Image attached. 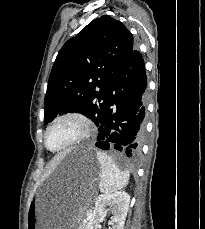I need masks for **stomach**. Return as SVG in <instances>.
I'll list each match as a JSON object with an SVG mask.
<instances>
[{
  "label": "stomach",
  "mask_w": 205,
  "mask_h": 229,
  "mask_svg": "<svg viewBox=\"0 0 205 229\" xmlns=\"http://www.w3.org/2000/svg\"><path fill=\"white\" fill-rule=\"evenodd\" d=\"M66 157L72 167L67 173L80 182V195L75 198H68L65 194L38 195L29 204L26 229H83L81 221L90 206L101 167L90 148L75 147L67 152Z\"/></svg>",
  "instance_id": "stomach-1"
}]
</instances>
